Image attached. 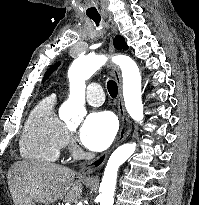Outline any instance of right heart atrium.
Here are the masks:
<instances>
[{"label": "right heart atrium", "instance_id": "right-heart-atrium-1", "mask_svg": "<svg viewBox=\"0 0 199 205\" xmlns=\"http://www.w3.org/2000/svg\"><path fill=\"white\" fill-rule=\"evenodd\" d=\"M73 144V138L70 134L66 135L65 146H71Z\"/></svg>", "mask_w": 199, "mask_h": 205}]
</instances>
